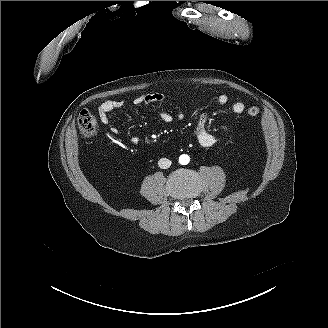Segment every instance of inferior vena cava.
<instances>
[{
    "mask_svg": "<svg viewBox=\"0 0 328 328\" xmlns=\"http://www.w3.org/2000/svg\"><path fill=\"white\" fill-rule=\"evenodd\" d=\"M158 165L160 168L162 169H167L171 166V161L167 158H161L159 161H158Z\"/></svg>",
    "mask_w": 328,
    "mask_h": 328,
    "instance_id": "602c4592",
    "label": "inferior vena cava"
}]
</instances>
